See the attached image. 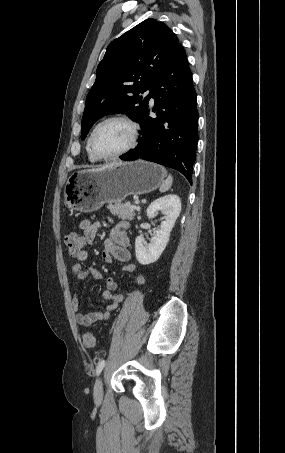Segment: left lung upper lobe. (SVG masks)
Listing matches in <instances>:
<instances>
[{"label":"left lung upper lobe","instance_id":"obj_1","mask_svg":"<svg viewBox=\"0 0 285 453\" xmlns=\"http://www.w3.org/2000/svg\"><path fill=\"white\" fill-rule=\"evenodd\" d=\"M179 44L167 25L152 18L112 41L86 98L81 138L110 113L121 112L139 122L157 77ZM147 90L150 92L143 99L140 94Z\"/></svg>","mask_w":285,"mask_h":453}]
</instances>
